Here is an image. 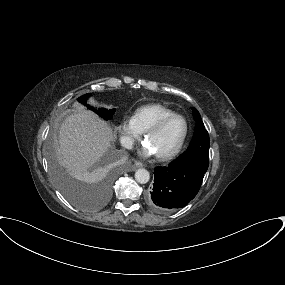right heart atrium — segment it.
Here are the masks:
<instances>
[{
    "label": "right heart atrium",
    "mask_w": 285,
    "mask_h": 285,
    "mask_svg": "<svg viewBox=\"0 0 285 285\" xmlns=\"http://www.w3.org/2000/svg\"><path fill=\"white\" fill-rule=\"evenodd\" d=\"M119 132L122 142L125 146L131 147L133 143L138 140L142 134L137 127L134 117H123L119 124Z\"/></svg>",
    "instance_id": "obj_1"
}]
</instances>
